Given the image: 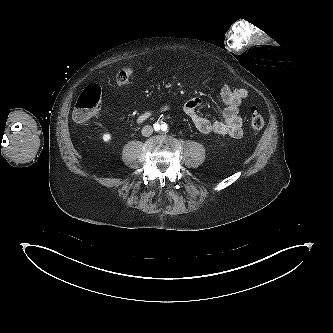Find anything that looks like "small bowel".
Listing matches in <instances>:
<instances>
[{
    "instance_id": "obj_1",
    "label": "small bowel",
    "mask_w": 333,
    "mask_h": 333,
    "mask_svg": "<svg viewBox=\"0 0 333 333\" xmlns=\"http://www.w3.org/2000/svg\"><path fill=\"white\" fill-rule=\"evenodd\" d=\"M152 68L151 65L147 70ZM248 93L245 88H232L224 85L220 91V97L225 105L223 111V120L211 121L198 112L202 101L199 98L188 100L184 104V112L191 119L198 131L204 134L215 133L219 135H227L238 139L243 135L242 118L240 115V106Z\"/></svg>"
}]
</instances>
